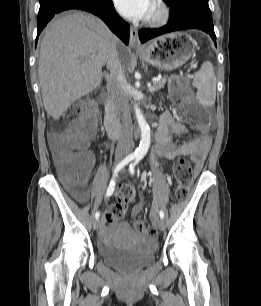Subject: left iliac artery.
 Returning a JSON list of instances; mask_svg holds the SVG:
<instances>
[{"mask_svg": "<svg viewBox=\"0 0 261 306\" xmlns=\"http://www.w3.org/2000/svg\"><path fill=\"white\" fill-rule=\"evenodd\" d=\"M139 160H140V158H137L136 161H135L134 163L130 164V166H129V171H130V173H131L132 175L134 174V168H135V166H136V164L138 163ZM159 216H160L161 219L164 218V212H163V210H160V211H159Z\"/></svg>", "mask_w": 261, "mask_h": 306, "instance_id": "44dca946", "label": "left iliac artery"}]
</instances>
